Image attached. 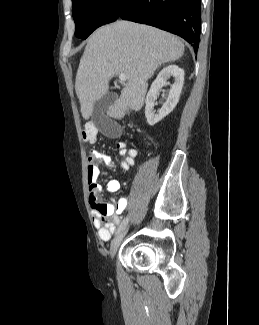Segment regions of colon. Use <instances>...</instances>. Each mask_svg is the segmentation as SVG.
Returning <instances> with one entry per match:
<instances>
[{
	"label": "colon",
	"mask_w": 259,
	"mask_h": 325,
	"mask_svg": "<svg viewBox=\"0 0 259 325\" xmlns=\"http://www.w3.org/2000/svg\"><path fill=\"white\" fill-rule=\"evenodd\" d=\"M96 134L97 128L92 123L87 124L82 131L83 139L88 142L94 141L96 138Z\"/></svg>",
	"instance_id": "1"
}]
</instances>
